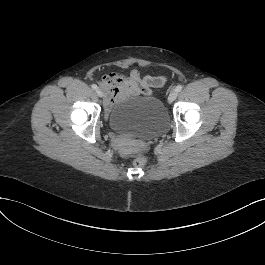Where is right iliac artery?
Returning a JSON list of instances; mask_svg holds the SVG:
<instances>
[{
	"label": "right iliac artery",
	"mask_w": 265,
	"mask_h": 265,
	"mask_svg": "<svg viewBox=\"0 0 265 265\" xmlns=\"http://www.w3.org/2000/svg\"><path fill=\"white\" fill-rule=\"evenodd\" d=\"M92 89H94V90H96L98 87H97V85L96 84H92Z\"/></svg>",
	"instance_id": "1"
}]
</instances>
